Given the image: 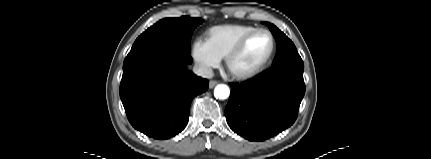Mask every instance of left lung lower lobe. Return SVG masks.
<instances>
[{
	"label": "left lung lower lobe",
	"mask_w": 431,
	"mask_h": 159,
	"mask_svg": "<svg viewBox=\"0 0 431 159\" xmlns=\"http://www.w3.org/2000/svg\"><path fill=\"white\" fill-rule=\"evenodd\" d=\"M304 64L272 66L252 79L230 83L229 127L249 141H264L295 122L305 94Z\"/></svg>",
	"instance_id": "0a47b994"
}]
</instances>
